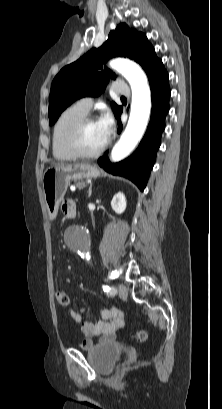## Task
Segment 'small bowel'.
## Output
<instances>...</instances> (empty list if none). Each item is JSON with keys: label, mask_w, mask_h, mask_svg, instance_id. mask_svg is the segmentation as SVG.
Returning a JSON list of instances; mask_svg holds the SVG:
<instances>
[{"label": "small bowel", "mask_w": 222, "mask_h": 409, "mask_svg": "<svg viewBox=\"0 0 222 409\" xmlns=\"http://www.w3.org/2000/svg\"><path fill=\"white\" fill-rule=\"evenodd\" d=\"M62 212L67 217H72L71 213H76V205L72 200H66L62 204ZM86 308L80 311H70L72 319L77 322L84 335L81 348L88 350L96 344L113 342L116 338V332L125 325L124 314L117 308H104L101 310V319L97 323H92L85 316Z\"/></svg>", "instance_id": "obj_1"}]
</instances>
